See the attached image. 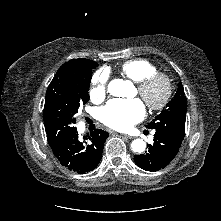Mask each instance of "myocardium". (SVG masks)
<instances>
[{"instance_id": "obj_1", "label": "myocardium", "mask_w": 221, "mask_h": 221, "mask_svg": "<svg viewBox=\"0 0 221 221\" xmlns=\"http://www.w3.org/2000/svg\"><path fill=\"white\" fill-rule=\"evenodd\" d=\"M156 85L162 86V94L159 99L154 100L150 94ZM137 90L147 107L152 111H160L169 103L173 94V82L169 75L156 72L137 82Z\"/></svg>"}]
</instances>
